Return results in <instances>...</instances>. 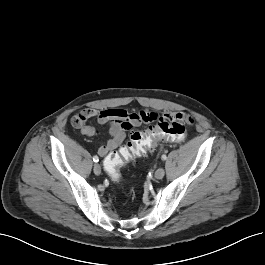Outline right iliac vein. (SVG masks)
<instances>
[{"label": "right iliac vein", "instance_id": "right-iliac-vein-1", "mask_svg": "<svg viewBox=\"0 0 265 265\" xmlns=\"http://www.w3.org/2000/svg\"><path fill=\"white\" fill-rule=\"evenodd\" d=\"M93 171H94V173L96 175H100V173H101V167H100V165L99 164H95L94 165V168H93Z\"/></svg>", "mask_w": 265, "mask_h": 265}]
</instances>
